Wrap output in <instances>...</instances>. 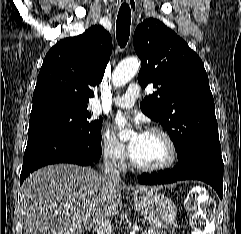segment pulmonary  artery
Segmentation results:
<instances>
[{
  "label": "pulmonary artery",
  "instance_id": "pulmonary-artery-1",
  "mask_svg": "<svg viewBox=\"0 0 241 234\" xmlns=\"http://www.w3.org/2000/svg\"><path fill=\"white\" fill-rule=\"evenodd\" d=\"M140 95V86L131 84L123 95H117L111 98V102L121 108H130L134 105Z\"/></svg>",
  "mask_w": 241,
  "mask_h": 234
}]
</instances>
